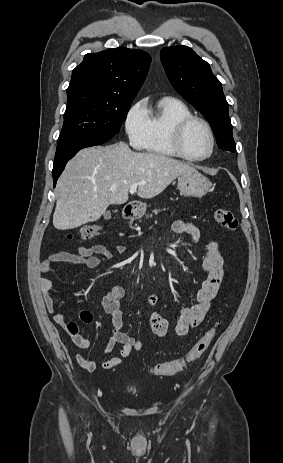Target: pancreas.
<instances>
[{
    "mask_svg": "<svg viewBox=\"0 0 283 463\" xmlns=\"http://www.w3.org/2000/svg\"><path fill=\"white\" fill-rule=\"evenodd\" d=\"M158 212H160V210H157V209L154 210V213H155V214H158ZM146 217H147V218L152 217V214L147 215Z\"/></svg>",
    "mask_w": 283,
    "mask_h": 463,
    "instance_id": "1",
    "label": "pancreas"
}]
</instances>
